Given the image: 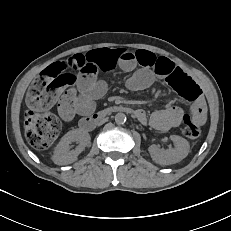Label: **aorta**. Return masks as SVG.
Here are the masks:
<instances>
[{
    "mask_svg": "<svg viewBox=\"0 0 231 231\" xmlns=\"http://www.w3.org/2000/svg\"><path fill=\"white\" fill-rule=\"evenodd\" d=\"M115 122L117 124H124L126 122V115L124 113H117L115 115Z\"/></svg>",
    "mask_w": 231,
    "mask_h": 231,
    "instance_id": "obj_1",
    "label": "aorta"
}]
</instances>
